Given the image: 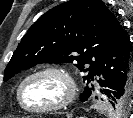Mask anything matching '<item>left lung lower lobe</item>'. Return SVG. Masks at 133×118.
Listing matches in <instances>:
<instances>
[{
    "instance_id": "left-lung-lower-lobe-1",
    "label": "left lung lower lobe",
    "mask_w": 133,
    "mask_h": 118,
    "mask_svg": "<svg viewBox=\"0 0 133 118\" xmlns=\"http://www.w3.org/2000/svg\"><path fill=\"white\" fill-rule=\"evenodd\" d=\"M132 57L130 41L121 27L98 60L91 79L94 81V76H99L96 81L102 88L101 93L110 102H117L127 94L132 96Z\"/></svg>"
}]
</instances>
